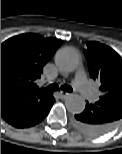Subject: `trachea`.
I'll use <instances>...</instances> for the list:
<instances>
[{
    "instance_id": "obj_1",
    "label": "trachea",
    "mask_w": 122,
    "mask_h": 154,
    "mask_svg": "<svg viewBox=\"0 0 122 154\" xmlns=\"http://www.w3.org/2000/svg\"><path fill=\"white\" fill-rule=\"evenodd\" d=\"M46 91H57L59 90V86L57 84H51L48 87L45 88ZM61 90L66 91V92H72L73 89L68 86V85H63L61 86Z\"/></svg>"
}]
</instances>
